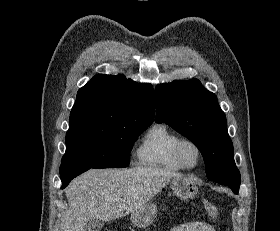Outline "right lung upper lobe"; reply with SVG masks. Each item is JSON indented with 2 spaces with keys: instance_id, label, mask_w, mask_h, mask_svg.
I'll return each mask as SVG.
<instances>
[{
  "instance_id": "1",
  "label": "right lung upper lobe",
  "mask_w": 280,
  "mask_h": 231,
  "mask_svg": "<svg viewBox=\"0 0 280 231\" xmlns=\"http://www.w3.org/2000/svg\"><path fill=\"white\" fill-rule=\"evenodd\" d=\"M152 96L150 84H138L123 75L99 74L79 89L70 119L112 118L152 123Z\"/></svg>"
}]
</instances>
